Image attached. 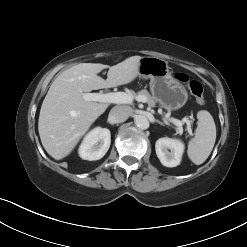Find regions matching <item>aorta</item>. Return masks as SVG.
Listing matches in <instances>:
<instances>
[{"mask_svg":"<svg viewBox=\"0 0 247 247\" xmlns=\"http://www.w3.org/2000/svg\"><path fill=\"white\" fill-rule=\"evenodd\" d=\"M135 125L139 128V129H147L149 127V121L147 119L146 116L144 115H138L135 118Z\"/></svg>","mask_w":247,"mask_h":247,"instance_id":"762f6f07","label":"aorta"}]
</instances>
